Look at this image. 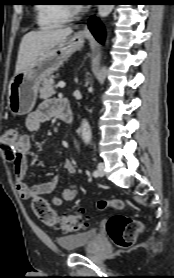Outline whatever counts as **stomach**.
Returning <instances> with one entry per match:
<instances>
[{
	"instance_id": "obj_1",
	"label": "stomach",
	"mask_w": 174,
	"mask_h": 278,
	"mask_svg": "<svg viewBox=\"0 0 174 278\" xmlns=\"http://www.w3.org/2000/svg\"><path fill=\"white\" fill-rule=\"evenodd\" d=\"M79 34L66 37L57 46L38 56L23 71L15 74L8 85L7 105L13 115H25L35 106L38 90L44 80L84 45Z\"/></svg>"
}]
</instances>
